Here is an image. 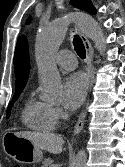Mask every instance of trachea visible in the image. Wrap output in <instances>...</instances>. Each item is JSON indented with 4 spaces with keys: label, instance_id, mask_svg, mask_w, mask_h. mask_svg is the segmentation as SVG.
Instances as JSON below:
<instances>
[{
    "label": "trachea",
    "instance_id": "obj_1",
    "mask_svg": "<svg viewBox=\"0 0 125 167\" xmlns=\"http://www.w3.org/2000/svg\"><path fill=\"white\" fill-rule=\"evenodd\" d=\"M73 45H74V49H75L76 53L79 55V57L85 58L86 57L85 47H84L83 41L81 40V38L78 35L74 36Z\"/></svg>",
    "mask_w": 125,
    "mask_h": 167
}]
</instances>
